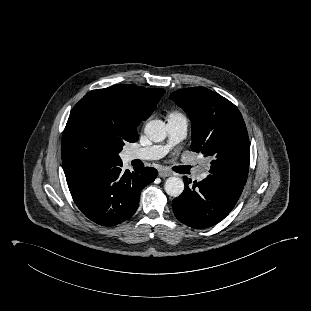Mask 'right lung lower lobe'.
I'll use <instances>...</instances> for the list:
<instances>
[{
	"mask_svg": "<svg viewBox=\"0 0 311 311\" xmlns=\"http://www.w3.org/2000/svg\"><path fill=\"white\" fill-rule=\"evenodd\" d=\"M72 198L80 211L101 226H115L137 210L143 187L158 171L152 167L122 170V162L64 168Z\"/></svg>",
	"mask_w": 311,
	"mask_h": 311,
	"instance_id": "right-lung-lower-lobe-1",
	"label": "right lung lower lobe"
}]
</instances>
